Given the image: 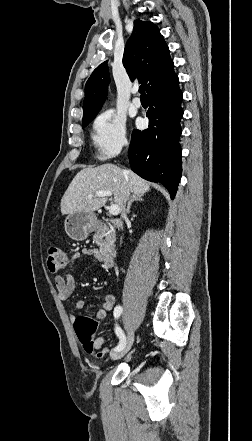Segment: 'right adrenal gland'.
Here are the masks:
<instances>
[{"mask_svg":"<svg viewBox=\"0 0 252 441\" xmlns=\"http://www.w3.org/2000/svg\"><path fill=\"white\" fill-rule=\"evenodd\" d=\"M134 201H143V198L138 195H132L129 202H128V206H127V210H126L127 214L130 213V208H131V205Z\"/></svg>","mask_w":252,"mask_h":441,"instance_id":"1","label":"right adrenal gland"}]
</instances>
